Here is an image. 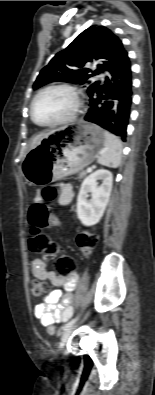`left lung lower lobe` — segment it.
I'll return each mask as SVG.
<instances>
[{"label":"left lung lower lobe","mask_w":155,"mask_h":395,"mask_svg":"<svg viewBox=\"0 0 155 395\" xmlns=\"http://www.w3.org/2000/svg\"><path fill=\"white\" fill-rule=\"evenodd\" d=\"M132 94L131 62L127 55L108 71L104 84L89 95L90 108L85 120L126 141Z\"/></svg>","instance_id":"1"}]
</instances>
